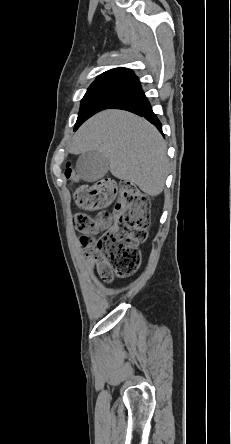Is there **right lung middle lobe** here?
Masks as SVG:
<instances>
[{
    "label": "right lung middle lobe",
    "instance_id": "obj_1",
    "mask_svg": "<svg viewBox=\"0 0 231 444\" xmlns=\"http://www.w3.org/2000/svg\"><path fill=\"white\" fill-rule=\"evenodd\" d=\"M128 93L115 86L89 88L81 101L80 112L75 124L76 130L85 120L100 110L107 109Z\"/></svg>",
    "mask_w": 231,
    "mask_h": 444
}]
</instances>
